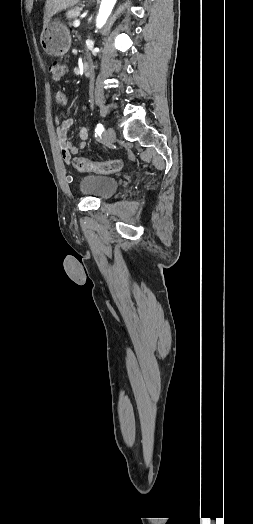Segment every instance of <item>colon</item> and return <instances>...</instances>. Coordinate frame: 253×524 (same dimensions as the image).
I'll use <instances>...</instances> for the list:
<instances>
[{
    "label": "colon",
    "instance_id": "1",
    "mask_svg": "<svg viewBox=\"0 0 253 524\" xmlns=\"http://www.w3.org/2000/svg\"><path fill=\"white\" fill-rule=\"evenodd\" d=\"M49 71L52 80L58 82L65 76L67 69L62 63L53 61L49 64ZM74 166L79 171H94L109 174L119 172L123 167V162L120 159L97 162L84 158H76L74 160Z\"/></svg>",
    "mask_w": 253,
    "mask_h": 524
}]
</instances>
